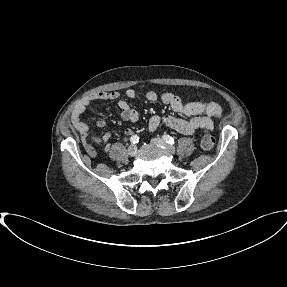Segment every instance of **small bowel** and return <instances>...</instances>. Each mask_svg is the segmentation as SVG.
<instances>
[{
	"mask_svg": "<svg viewBox=\"0 0 287 287\" xmlns=\"http://www.w3.org/2000/svg\"><path fill=\"white\" fill-rule=\"evenodd\" d=\"M125 95L129 99L136 97V92L133 89H128ZM120 94L116 91H100L93 93L76 105L73 110L71 121L74 128L83 136L86 137L89 132L88 125L83 121L82 116L86 108L95 100H117ZM144 98L148 102H154L158 98L171 107V109L177 113L188 116V119L176 118L173 116H152L148 122V128L150 131H156L162 124H166L172 129L185 135H192L197 131L203 133L211 132L214 128L213 118H219L222 115V109L220 105L212 99H194L184 100L179 96L174 95L171 92H163L160 96L154 91H148L144 94ZM118 108L120 110V117L127 122H136L139 118V113L133 109L127 100H119ZM97 126L102 128L106 125L104 119L97 121ZM126 135H131L133 130L131 128L125 129ZM112 136V132L108 131L103 134L101 138V144L108 149L109 140ZM87 151L94 155L95 151L88 145H86Z\"/></svg>",
	"mask_w": 287,
	"mask_h": 287,
	"instance_id": "obj_1",
	"label": "small bowel"
}]
</instances>
